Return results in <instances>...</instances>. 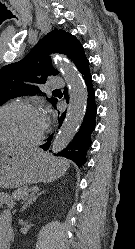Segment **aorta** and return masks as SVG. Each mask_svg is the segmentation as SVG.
I'll return each mask as SVG.
<instances>
[{"label": "aorta", "mask_w": 135, "mask_h": 249, "mask_svg": "<svg viewBox=\"0 0 135 249\" xmlns=\"http://www.w3.org/2000/svg\"><path fill=\"white\" fill-rule=\"evenodd\" d=\"M55 62L68 85L70 98L66 118L51 144L52 151L58 153L70 143L82 123L87 105V89L73 63L63 57H57Z\"/></svg>", "instance_id": "762f6f07"}]
</instances>
